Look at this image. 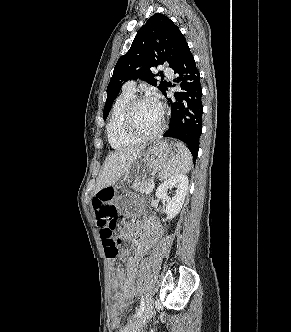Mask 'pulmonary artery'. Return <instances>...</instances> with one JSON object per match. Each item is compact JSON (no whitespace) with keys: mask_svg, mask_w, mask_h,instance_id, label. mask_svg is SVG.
<instances>
[{"mask_svg":"<svg viewBox=\"0 0 291 332\" xmlns=\"http://www.w3.org/2000/svg\"><path fill=\"white\" fill-rule=\"evenodd\" d=\"M164 73L167 74L168 76H172L173 75L172 70L170 68H168V67L164 68ZM124 90L135 93V90H136L135 82L132 81V80L126 82L125 85H124Z\"/></svg>","mask_w":291,"mask_h":332,"instance_id":"obj_1","label":"pulmonary artery"}]
</instances>
